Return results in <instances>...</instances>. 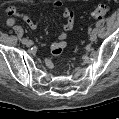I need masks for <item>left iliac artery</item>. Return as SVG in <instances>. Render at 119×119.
Returning a JSON list of instances; mask_svg holds the SVG:
<instances>
[{
    "label": "left iliac artery",
    "mask_w": 119,
    "mask_h": 119,
    "mask_svg": "<svg viewBox=\"0 0 119 119\" xmlns=\"http://www.w3.org/2000/svg\"><path fill=\"white\" fill-rule=\"evenodd\" d=\"M96 32H97V29H96V28H94V29H93V33H96Z\"/></svg>",
    "instance_id": "obj_1"
}]
</instances>
